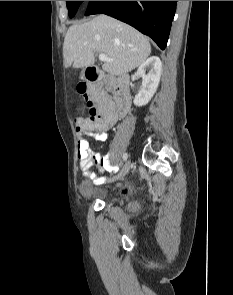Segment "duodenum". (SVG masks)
I'll use <instances>...</instances> for the list:
<instances>
[{
  "mask_svg": "<svg viewBox=\"0 0 233 295\" xmlns=\"http://www.w3.org/2000/svg\"><path fill=\"white\" fill-rule=\"evenodd\" d=\"M99 77H103V73L96 67H89L86 71V78L95 82L98 81ZM119 85L116 86L115 103L117 110L120 114H125L130 109V94L126 87V78L120 77L118 79Z\"/></svg>",
  "mask_w": 233,
  "mask_h": 295,
  "instance_id": "1",
  "label": "duodenum"
}]
</instances>
